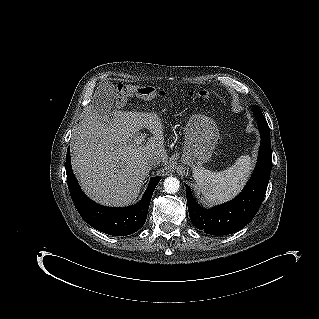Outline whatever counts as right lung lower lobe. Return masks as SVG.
Listing matches in <instances>:
<instances>
[{
	"label": "right lung lower lobe",
	"mask_w": 319,
	"mask_h": 319,
	"mask_svg": "<svg viewBox=\"0 0 319 319\" xmlns=\"http://www.w3.org/2000/svg\"><path fill=\"white\" fill-rule=\"evenodd\" d=\"M66 173L72 200L84 221L96 230L114 236L132 234L144 225L153 191L160 181V177L151 178L143 199L137 204L126 208H112L93 202L83 193L72 172L69 148Z\"/></svg>",
	"instance_id": "obj_1"
}]
</instances>
